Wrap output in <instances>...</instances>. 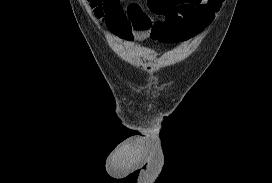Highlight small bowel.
<instances>
[{
    "mask_svg": "<svg viewBox=\"0 0 272 183\" xmlns=\"http://www.w3.org/2000/svg\"><path fill=\"white\" fill-rule=\"evenodd\" d=\"M222 0H149L153 16L138 0H105L101 17L122 41L153 38L161 43L180 42L209 25Z\"/></svg>",
    "mask_w": 272,
    "mask_h": 183,
    "instance_id": "1",
    "label": "small bowel"
}]
</instances>
